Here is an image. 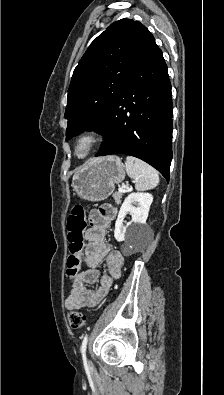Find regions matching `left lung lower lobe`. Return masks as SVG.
Listing matches in <instances>:
<instances>
[{
  "label": "left lung lower lobe",
  "mask_w": 224,
  "mask_h": 395,
  "mask_svg": "<svg viewBox=\"0 0 224 395\" xmlns=\"http://www.w3.org/2000/svg\"><path fill=\"white\" fill-rule=\"evenodd\" d=\"M172 97L167 65L156 45L110 107L95 156L127 154L156 168L169 181L172 160Z\"/></svg>",
  "instance_id": "left-lung-lower-lobe-1"
}]
</instances>
